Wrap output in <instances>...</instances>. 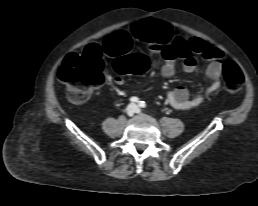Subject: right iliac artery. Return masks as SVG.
I'll list each match as a JSON object with an SVG mask.
<instances>
[{
    "mask_svg": "<svg viewBox=\"0 0 258 206\" xmlns=\"http://www.w3.org/2000/svg\"><path fill=\"white\" fill-rule=\"evenodd\" d=\"M138 100H139V99H138L137 97H131V98H130V101H131V102H138Z\"/></svg>",
    "mask_w": 258,
    "mask_h": 206,
    "instance_id": "1",
    "label": "right iliac artery"
}]
</instances>
